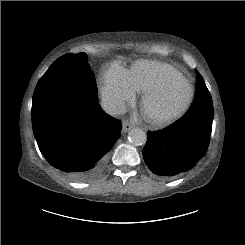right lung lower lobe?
<instances>
[{"label":"right lung lower lobe","instance_id":"98d812e1","mask_svg":"<svg viewBox=\"0 0 245 245\" xmlns=\"http://www.w3.org/2000/svg\"><path fill=\"white\" fill-rule=\"evenodd\" d=\"M65 103L36 116L32 126L45 159L68 178L98 177L120 136L121 123L101 110L97 97Z\"/></svg>","mask_w":245,"mask_h":245}]
</instances>
